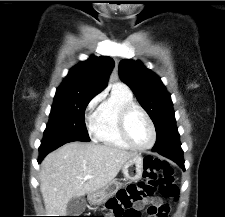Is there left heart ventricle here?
I'll list each match as a JSON object with an SVG mask.
<instances>
[{
	"instance_id": "b2bd125f",
	"label": "left heart ventricle",
	"mask_w": 225,
	"mask_h": 217,
	"mask_svg": "<svg viewBox=\"0 0 225 217\" xmlns=\"http://www.w3.org/2000/svg\"><path fill=\"white\" fill-rule=\"evenodd\" d=\"M128 131L132 141L138 146H146L151 142L150 126L139 111H134L128 120Z\"/></svg>"
}]
</instances>
